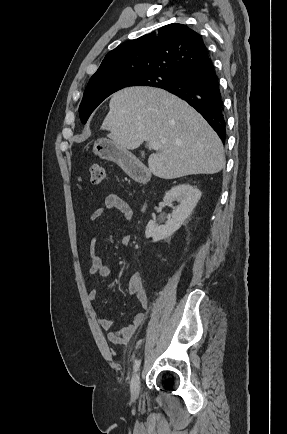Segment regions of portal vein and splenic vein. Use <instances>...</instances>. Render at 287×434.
<instances>
[{"instance_id": "18ae733b", "label": "portal vein and splenic vein", "mask_w": 287, "mask_h": 434, "mask_svg": "<svg viewBox=\"0 0 287 434\" xmlns=\"http://www.w3.org/2000/svg\"><path fill=\"white\" fill-rule=\"evenodd\" d=\"M149 146L151 149L158 151L159 150V144L153 141L149 142Z\"/></svg>"}]
</instances>
